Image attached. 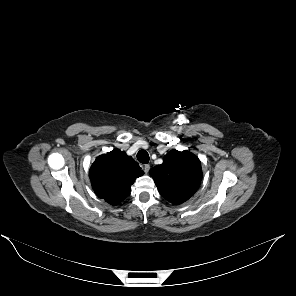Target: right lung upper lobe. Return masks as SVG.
I'll list each match as a JSON object with an SVG mask.
<instances>
[{
	"label": "right lung upper lobe",
	"instance_id": "right-lung-upper-lobe-1",
	"mask_svg": "<svg viewBox=\"0 0 296 296\" xmlns=\"http://www.w3.org/2000/svg\"><path fill=\"white\" fill-rule=\"evenodd\" d=\"M143 174L139 164L119 149L97 157L89 171L95 194L111 205L123 201L135 179Z\"/></svg>",
	"mask_w": 296,
	"mask_h": 296
}]
</instances>
